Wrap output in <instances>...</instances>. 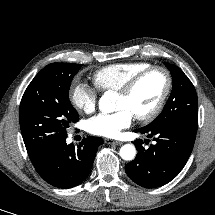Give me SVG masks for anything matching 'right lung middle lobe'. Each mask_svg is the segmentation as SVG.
Returning a JSON list of instances; mask_svg holds the SVG:
<instances>
[{
	"label": "right lung middle lobe",
	"instance_id": "1",
	"mask_svg": "<svg viewBox=\"0 0 215 215\" xmlns=\"http://www.w3.org/2000/svg\"><path fill=\"white\" fill-rule=\"evenodd\" d=\"M81 64L51 63L25 90L19 110L22 137L29 157L67 137L66 129L78 120L69 101V88Z\"/></svg>",
	"mask_w": 215,
	"mask_h": 215
}]
</instances>
